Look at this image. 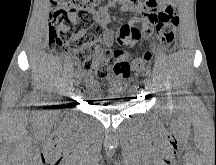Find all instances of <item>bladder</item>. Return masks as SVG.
Masks as SVG:
<instances>
[{
	"label": "bladder",
	"instance_id": "obj_1",
	"mask_svg": "<svg viewBox=\"0 0 216 165\" xmlns=\"http://www.w3.org/2000/svg\"><path fill=\"white\" fill-rule=\"evenodd\" d=\"M85 77L83 95L89 100H103L96 101V106H102V111H119L132 104L123 97L127 82L119 76H106V81H96L90 75Z\"/></svg>",
	"mask_w": 216,
	"mask_h": 165
}]
</instances>
